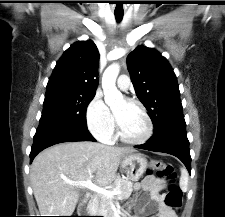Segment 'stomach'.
Instances as JSON below:
<instances>
[{
	"label": "stomach",
	"instance_id": "obj_1",
	"mask_svg": "<svg viewBox=\"0 0 225 217\" xmlns=\"http://www.w3.org/2000/svg\"><path fill=\"white\" fill-rule=\"evenodd\" d=\"M148 162L146 157L140 153L126 155L121 161L123 172L132 180H138L146 171Z\"/></svg>",
	"mask_w": 225,
	"mask_h": 217
}]
</instances>
